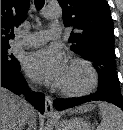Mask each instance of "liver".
Listing matches in <instances>:
<instances>
[{"mask_svg": "<svg viewBox=\"0 0 123 130\" xmlns=\"http://www.w3.org/2000/svg\"><path fill=\"white\" fill-rule=\"evenodd\" d=\"M27 107L28 104L23 99L1 87V130H22L26 124L24 114ZM91 109V105H84L75 112H86ZM27 123L29 130H35L36 113L32 108Z\"/></svg>", "mask_w": 123, "mask_h": 130, "instance_id": "6515ba94", "label": "liver"}]
</instances>
